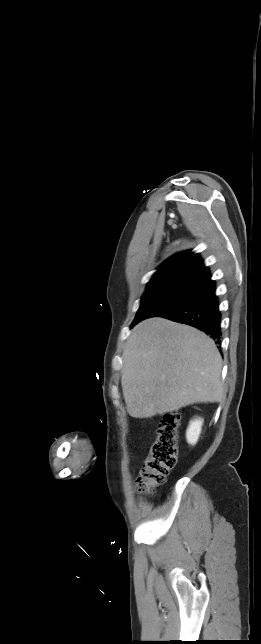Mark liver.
Segmentation results:
<instances>
[{
  "label": "liver",
  "instance_id": "liver-1",
  "mask_svg": "<svg viewBox=\"0 0 261 644\" xmlns=\"http://www.w3.org/2000/svg\"><path fill=\"white\" fill-rule=\"evenodd\" d=\"M122 358L123 395L134 418L224 397L221 355L211 338L191 326L146 319L133 328Z\"/></svg>",
  "mask_w": 261,
  "mask_h": 644
}]
</instances>
